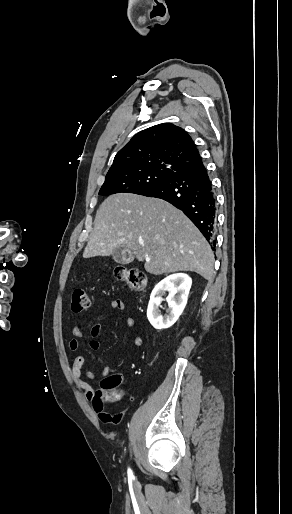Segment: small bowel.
Wrapping results in <instances>:
<instances>
[{"instance_id":"small-bowel-1","label":"small bowel","mask_w":292,"mask_h":514,"mask_svg":"<svg viewBox=\"0 0 292 514\" xmlns=\"http://www.w3.org/2000/svg\"><path fill=\"white\" fill-rule=\"evenodd\" d=\"M99 303L98 300H93L89 304V308L96 306ZM109 307L112 310H116L119 312H123L125 310V304L124 302L119 298H113L109 301ZM126 324L129 328H133L135 326V320L133 317L129 316L126 319ZM72 335L73 338L70 339L68 343V347L71 351H76L80 346V339L86 338V335L83 333V331L78 327L74 326L72 328ZM101 332V325L99 323H96L92 326L90 331V341L89 346L92 350H98L101 346L100 340H99V334ZM132 343L135 347H139L142 344V339L139 336H135L132 339ZM84 364H85V357L83 355H77L73 361V364L71 366V377L75 385L84 391L85 397L90 398L92 395V390L89 385V383L83 379V376L89 380L96 379L97 375L92 370H84ZM102 375L105 376L108 374V366L103 365L102 366ZM129 400L131 402H134L136 400V397L134 395H131L129 397Z\"/></svg>"}]
</instances>
